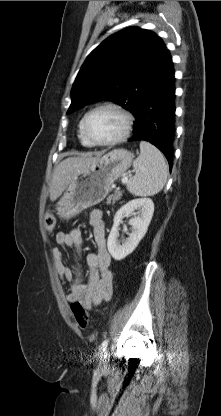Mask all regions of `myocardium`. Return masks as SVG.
Returning <instances> with one entry per match:
<instances>
[{
	"label": "myocardium",
	"mask_w": 221,
	"mask_h": 416,
	"mask_svg": "<svg viewBox=\"0 0 221 416\" xmlns=\"http://www.w3.org/2000/svg\"><path fill=\"white\" fill-rule=\"evenodd\" d=\"M101 109H112L116 111L123 119V128L121 133L116 136L113 139L106 140V141H97L92 139L86 130V124L89 119V117L96 111ZM133 126V116L132 114L122 105L115 103V102H104L101 104L96 105L92 109H90L83 117L81 124H80V130L84 138L91 144L95 146H111L118 144L122 141H124L130 134Z\"/></svg>",
	"instance_id": "f54148a6"
}]
</instances>
